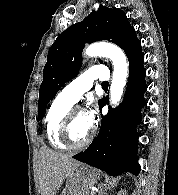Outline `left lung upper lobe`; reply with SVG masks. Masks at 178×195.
<instances>
[{
	"label": "left lung upper lobe",
	"instance_id": "5c2ea615",
	"mask_svg": "<svg viewBox=\"0 0 178 195\" xmlns=\"http://www.w3.org/2000/svg\"><path fill=\"white\" fill-rule=\"evenodd\" d=\"M100 40H108L120 46L128 60L142 53L141 43L126 14L118 8L100 5L97 11H93L83 21L62 32L50 47L39 90V119L43 118L46 105L60 87L78 75L85 43Z\"/></svg>",
	"mask_w": 178,
	"mask_h": 195
}]
</instances>
